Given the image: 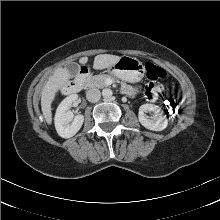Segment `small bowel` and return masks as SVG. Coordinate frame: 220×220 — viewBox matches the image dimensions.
I'll return each mask as SVG.
<instances>
[{"mask_svg":"<svg viewBox=\"0 0 220 220\" xmlns=\"http://www.w3.org/2000/svg\"><path fill=\"white\" fill-rule=\"evenodd\" d=\"M162 90L163 88L160 84L157 83L148 84L145 92L147 99L154 101Z\"/></svg>","mask_w":220,"mask_h":220,"instance_id":"obj_1","label":"small bowel"}]
</instances>
